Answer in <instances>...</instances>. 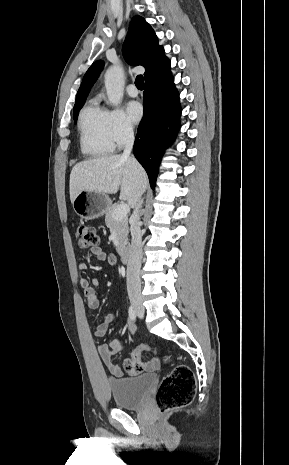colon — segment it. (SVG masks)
I'll list each match as a JSON object with an SVG mask.
<instances>
[{
  "instance_id": "obj_1",
  "label": "colon",
  "mask_w": 289,
  "mask_h": 465,
  "mask_svg": "<svg viewBox=\"0 0 289 465\" xmlns=\"http://www.w3.org/2000/svg\"><path fill=\"white\" fill-rule=\"evenodd\" d=\"M78 244L82 249L98 247L99 237L91 225L79 228ZM148 349L146 345L138 346L124 365L128 370L140 368V353ZM196 390V379L193 371L186 365L174 367L161 381L156 393L155 401L158 410L166 413L185 407L191 403Z\"/></svg>"
}]
</instances>
